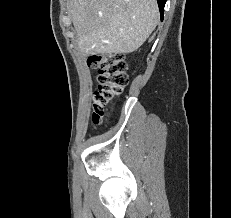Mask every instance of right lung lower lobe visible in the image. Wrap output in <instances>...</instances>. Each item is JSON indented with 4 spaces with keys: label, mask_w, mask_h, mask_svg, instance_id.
I'll list each match as a JSON object with an SVG mask.
<instances>
[{
    "label": "right lung lower lobe",
    "mask_w": 231,
    "mask_h": 218,
    "mask_svg": "<svg viewBox=\"0 0 231 218\" xmlns=\"http://www.w3.org/2000/svg\"><path fill=\"white\" fill-rule=\"evenodd\" d=\"M157 2H158V6H159V9H160V14H161V19H162L166 0H157Z\"/></svg>",
    "instance_id": "98d812e1"
}]
</instances>
